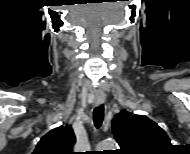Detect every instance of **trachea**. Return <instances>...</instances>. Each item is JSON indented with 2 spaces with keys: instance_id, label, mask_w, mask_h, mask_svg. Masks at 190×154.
I'll return each mask as SVG.
<instances>
[{
  "instance_id": "1",
  "label": "trachea",
  "mask_w": 190,
  "mask_h": 154,
  "mask_svg": "<svg viewBox=\"0 0 190 154\" xmlns=\"http://www.w3.org/2000/svg\"><path fill=\"white\" fill-rule=\"evenodd\" d=\"M104 116V106L100 105L96 107L93 111V120L96 128H99L102 125Z\"/></svg>"
}]
</instances>
